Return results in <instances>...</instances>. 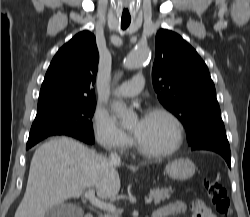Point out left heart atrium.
Returning <instances> with one entry per match:
<instances>
[{
	"label": "left heart atrium",
	"mask_w": 250,
	"mask_h": 217,
	"mask_svg": "<svg viewBox=\"0 0 250 217\" xmlns=\"http://www.w3.org/2000/svg\"><path fill=\"white\" fill-rule=\"evenodd\" d=\"M144 118H145V117H143V118H141V119L139 120V124H142V123H143Z\"/></svg>",
	"instance_id": "1"
}]
</instances>
